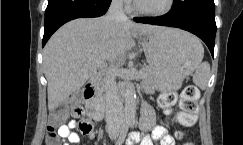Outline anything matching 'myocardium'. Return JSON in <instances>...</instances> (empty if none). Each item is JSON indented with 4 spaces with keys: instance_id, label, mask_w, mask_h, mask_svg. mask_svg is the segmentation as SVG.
<instances>
[{
    "instance_id": "myocardium-1",
    "label": "myocardium",
    "mask_w": 243,
    "mask_h": 145,
    "mask_svg": "<svg viewBox=\"0 0 243 145\" xmlns=\"http://www.w3.org/2000/svg\"><path fill=\"white\" fill-rule=\"evenodd\" d=\"M174 5H175V0H168V4L164 9L158 10V11H153V10H148V9L143 8L140 5L138 0H134L135 9L139 13L147 15V16H152V17H162V16L169 14L172 11V9L174 8Z\"/></svg>"
}]
</instances>
